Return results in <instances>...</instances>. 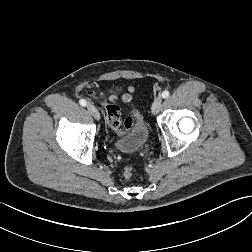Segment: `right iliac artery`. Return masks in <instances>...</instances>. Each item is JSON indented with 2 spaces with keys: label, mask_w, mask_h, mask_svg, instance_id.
<instances>
[{
  "label": "right iliac artery",
  "mask_w": 252,
  "mask_h": 252,
  "mask_svg": "<svg viewBox=\"0 0 252 252\" xmlns=\"http://www.w3.org/2000/svg\"><path fill=\"white\" fill-rule=\"evenodd\" d=\"M79 103H80L81 106H86V104H87V102L84 99H81L79 101Z\"/></svg>",
  "instance_id": "right-iliac-artery-1"
}]
</instances>
